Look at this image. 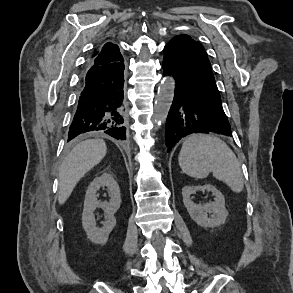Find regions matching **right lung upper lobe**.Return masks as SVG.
I'll use <instances>...</instances> for the list:
<instances>
[{"label":"right lung upper lobe","instance_id":"cb5924a9","mask_svg":"<svg viewBox=\"0 0 293 293\" xmlns=\"http://www.w3.org/2000/svg\"><path fill=\"white\" fill-rule=\"evenodd\" d=\"M124 61L119 47L113 43H106L90 59L88 68L107 64L122 63Z\"/></svg>","mask_w":293,"mask_h":293}]
</instances>
